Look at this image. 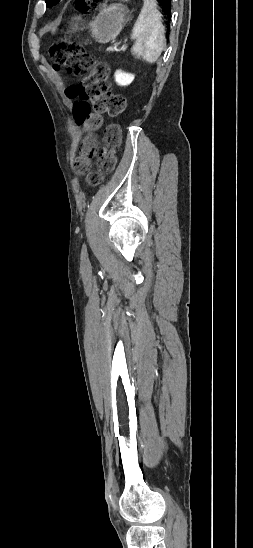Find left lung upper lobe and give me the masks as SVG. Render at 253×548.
<instances>
[{"instance_id":"left-lung-upper-lobe-1","label":"left lung upper lobe","mask_w":253,"mask_h":548,"mask_svg":"<svg viewBox=\"0 0 253 548\" xmlns=\"http://www.w3.org/2000/svg\"><path fill=\"white\" fill-rule=\"evenodd\" d=\"M60 0H46L47 7H52L53 5L57 4Z\"/></svg>"}]
</instances>
